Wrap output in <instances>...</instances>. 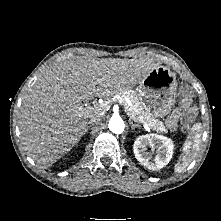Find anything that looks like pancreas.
<instances>
[{
    "instance_id": "cf45deb5",
    "label": "pancreas",
    "mask_w": 221,
    "mask_h": 221,
    "mask_svg": "<svg viewBox=\"0 0 221 221\" xmlns=\"http://www.w3.org/2000/svg\"><path fill=\"white\" fill-rule=\"evenodd\" d=\"M118 98L120 102L124 104V109L125 112L136 122L140 123H146L151 129L157 131V132H162V133H167V129L164 126L163 122L158 120L156 117H154L152 114L146 113L139 102V99L137 98V95L134 91L128 90V91H122L118 93ZM125 97H127L130 102L132 103V106H129L126 101Z\"/></svg>"
}]
</instances>
